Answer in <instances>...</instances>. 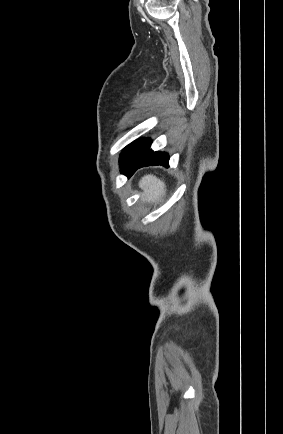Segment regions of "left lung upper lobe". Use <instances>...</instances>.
<instances>
[{
	"mask_svg": "<svg viewBox=\"0 0 283 434\" xmlns=\"http://www.w3.org/2000/svg\"><path fill=\"white\" fill-rule=\"evenodd\" d=\"M150 145L151 141L148 139H139L131 143L121 153L120 165L144 156Z\"/></svg>",
	"mask_w": 283,
	"mask_h": 434,
	"instance_id": "left-lung-upper-lobe-1",
	"label": "left lung upper lobe"
}]
</instances>
